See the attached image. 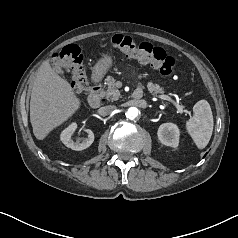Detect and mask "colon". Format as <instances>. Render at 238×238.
Instances as JSON below:
<instances>
[{"instance_id": "obj_1", "label": "colon", "mask_w": 238, "mask_h": 238, "mask_svg": "<svg viewBox=\"0 0 238 238\" xmlns=\"http://www.w3.org/2000/svg\"><path fill=\"white\" fill-rule=\"evenodd\" d=\"M108 45L119 50L127 57L149 65L162 75H171L175 60L160 47L148 42L137 43L129 36L115 34L108 39ZM52 63L59 69L71 74V87L75 93H83L90 89L84 66V57L76 45H68L56 52Z\"/></svg>"}]
</instances>
